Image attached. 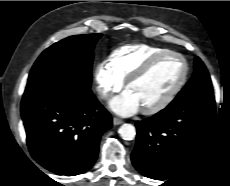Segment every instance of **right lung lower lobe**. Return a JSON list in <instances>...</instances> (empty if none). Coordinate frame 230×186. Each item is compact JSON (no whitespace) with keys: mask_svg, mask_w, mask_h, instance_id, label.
Masks as SVG:
<instances>
[{"mask_svg":"<svg viewBox=\"0 0 230 186\" xmlns=\"http://www.w3.org/2000/svg\"><path fill=\"white\" fill-rule=\"evenodd\" d=\"M27 144L33 158L49 171L66 176L92 167L111 115L90 87L66 78L27 86L21 102Z\"/></svg>","mask_w":230,"mask_h":186,"instance_id":"98d812e1","label":"right lung lower lobe"}]
</instances>
